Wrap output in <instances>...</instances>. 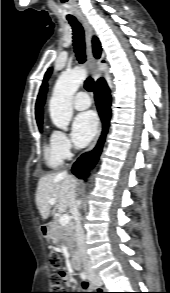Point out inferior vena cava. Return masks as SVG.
I'll return each instance as SVG.
<instances>
[{
  "instance_id": "602c4592",
  "label": "inferior vena cava",
  "mask_w": 170,
  "mask_h": 293,
  "mask_svg": "<svg viewBox=\"0 0 170 293\" xmlns=\"http://www.w3.org/2000/svg\"><path fill=\"white\" fill-rule=\"evenodd\" d=\"M71 211L73 212L75 223H76V242H77V253L81 257V260L85 266V268L90 269L91 263L88 259L85 245V236L84 231L80 221V215L77 209L76 201H75V190L71 193Z\"/></svg>"
}]
</instances>
